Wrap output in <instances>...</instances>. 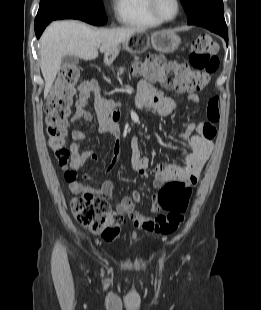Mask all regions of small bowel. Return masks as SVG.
Wrapping results in <instances>:
<instances>
[{
  "label": "small bowel",
  "instance_id": "c3829d8e",
  "mask_svg": "<svg viewBox=\"0 0 261 310\" xmlns=\"http://www.w3.org/2000/svg\"><path fill=\"white\" fill-rule=\"evenodd\" d=\"M99 93V88L93 80L85 81L79 86V97L76 103V113L73 117L75 123L80 121H91L92 115L87 110V105L91 94ZM188 100L197 104L200 101L198 94L191 93L188 96ZM118 102L100 97L98 101V109L100 112L107 106H117ZM137 105L139 107L146 106L153 108L157 113L161 115H168L176 107V101L173 98L166 97L162 91L151 85L147 81H141L138 88ZM100 130L104 133L115 134V128L106 122L104 119L100 122ZM74 142L70 145L71 151V171L76 172L81 169L87 160H97V155L92 150L83 151L80 145V141L86 138V133L81 129H75L72 133ZM180 137L188 141L190 152L184 158V162L181 165L176 164H158L151 172L148 171L150 166V160L148 157L143 156L139 147L137 138H132L130 142L131 147V164L133 169L143 178L153 177L154 186L158 187L162 183L171 179H181L196 184L201 171L207 162L213 147L212 139L205 138L198 130L195 123H186L184 125V131L180 134ZM120 154L119 140H115L113 144V157L111 163L107 169V173L110 174L118 163ZM86 179H90L88 174H85ZM70 190L74 193H81L92 191L89 188L84 187L77 180L70 182ZM95 192L107 199H113V184L109 180H104L101 187ZM141 199L139 192H133L130 196L122 198L116 205V214H127L134 224L143 229L146 223L153 221L151 217L140 214L135 209V204ZM160 208L155 204L151 206V212L157 213ZM146 230V229H145Z\"/></svg>",
  "mask_w": 261,
  "mask_h": 310
}]
</instances>
